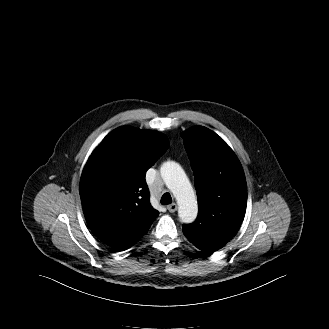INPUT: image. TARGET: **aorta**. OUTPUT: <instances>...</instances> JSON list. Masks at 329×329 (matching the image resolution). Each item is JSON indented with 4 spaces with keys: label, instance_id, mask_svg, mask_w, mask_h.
Returning a JSON list of instances; mask_svg holds the SVG:
<instances>
[{
    "label": "aorta",
    "instance_id": "aorta-1",
    "mask_svg": "<svg viewBox=\"0 0 329 329\" xmlns=\"http://www.w3.org/2000/svg\"><path fill=\"white\" fill-rule=\"evenodd\" d=\"M161 177L178 203V216L183 223H192L198 213L196 195L182 167L174 162L163 163Z\"/></svg>",
    "mask_w": 329,
    "mask_h": 329
}]
</instances>
